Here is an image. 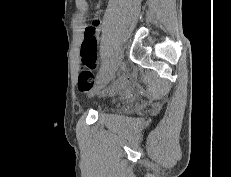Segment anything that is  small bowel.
<instances>
[{
  "label": "small bowel",
  "instance_id": "obj_1",
  "mask_svg": "<svg viewBox=\"0 0 231 177\" xmlns=\"http://www.w3.org/2000/svg\"><path fill=\"white\" fill-rule=\"evenodd\" d=\"M101 26H102V20L100 18V16H95L93 19H92V25L91 26H84L83 27V30H84V35H85V32L87 31L88 28H93L96 35H98L100 29H101ZM123 89V86L122 85H116L114 87V91H120Z\"/></svg>",
  "mask_w": 231,
  "mask_h": 177
}]
</instances>
